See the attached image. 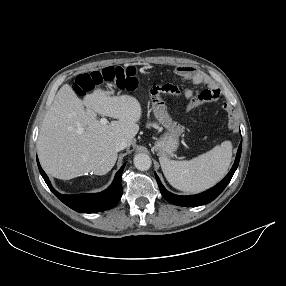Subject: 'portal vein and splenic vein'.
I'll list each match as a JSON object with an SVG mask.
<instances>
[{"label": "portal vein and splenic vein", "mask_w": 286, "mask_h": 286, "mask_svg": "<svg viewBox=\"0 0 286 286\" xmlns=\"http://www.w3.org/2000/svg\"><path fill=\"white\" fill-rule=\"evenodd\" d=\"M100 123L103 124V125H106L108 123V121H107L106 118H101L100 119Z\"/></svg>", "instance_id": "18ae733b"}]
</instances>
